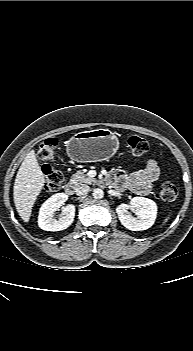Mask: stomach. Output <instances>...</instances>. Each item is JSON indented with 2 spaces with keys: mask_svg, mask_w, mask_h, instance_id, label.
I'll return each mask as SVG.
<instances>
[{
  "mask_svg": "<svg viewBox=\"0 0 193 351\" xmlns=\"http://www.w3.org/2000/svg\"><path fill=\"white\" fill-rule=\"evenodd\" d=\"M118 147V138L109 129L79 132L66 143L68 156L81 163L106 160L116 153Z\"/></svg>",
  "mask_w": 193,
  "mask_h": 351,
  "instance_id": "obj_1",
  "label": "stomach"
}]
</instances>
